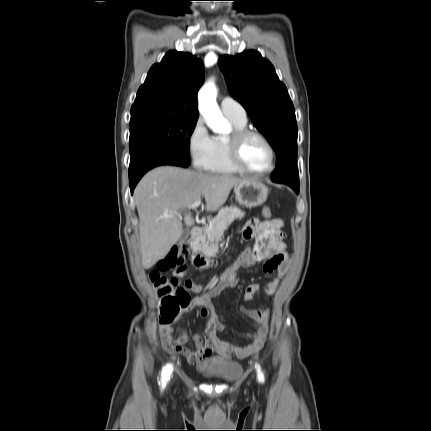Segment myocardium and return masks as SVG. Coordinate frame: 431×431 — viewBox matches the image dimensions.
<instances>
[{
  "instance_id": "obj_1",
  "label": "myocardium",
  "mask_w": 431,
  "mask_h": 431,
  "mask_svg": "<svg viewBox=\"0 0 431 431\" xmlns=\"http://www.w3.org/2000/svg\"><path fill=\"white\" fill-rule=\"evenodd\" d=\"M249 137H257L261 139L264 144L267 146L270 155H271V164L269 168L265 170H255L250 167H248L241 156V148L243 143L246 139ZM227 147H228V153L229 158L232 162V164L241 172L248 173V174H256V175H265L268 173H271L275 167H276V151L269 141V139L262 134L259 131L252 130V129H235L230 134V136L226 139Z\"/></svg>"
}]
</instances>
